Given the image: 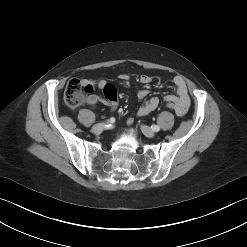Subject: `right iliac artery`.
I'll use <instances>...</instances> for the list:
<instances>
[{
	"instance_id": "right-iliac-artery-1",
	"label": "right iliac artery",
	"mask_w": 247,
	"mask_h": 247,
	"mask_svg": "<svg viewBox=\"0 0 247 247\" xmlns=\"http://www.w3.org/2000/svg\"><path fill=\"white\" fill-rule=\"evenodd\" d=\"M115 119L114 118H110L109 120H107V123H114Z\"/></svg>"
}]
</instances>
